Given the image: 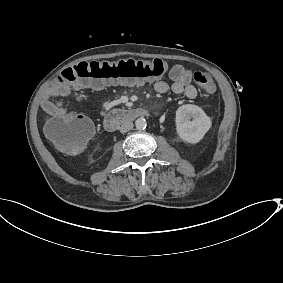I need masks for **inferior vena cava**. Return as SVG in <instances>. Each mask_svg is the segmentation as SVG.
Segmentation results:
<instances>
[{"mask_svg":"<svg viewBox=\"0 0 283 283\" xmlns=\"http://www.w3.org/2000/svg\"><path fill=\"white\" fill-rule=\"evenodd\" d=\"M133 128V122L131 121H125L121 124L120 126V132L121 133H126L129 130H131Z\"/></svg>","mask_w":283,"mask_h":283,"instance_id":"inferior-vena-cava-1","label":"inferior vena cava"}]
</instances>
